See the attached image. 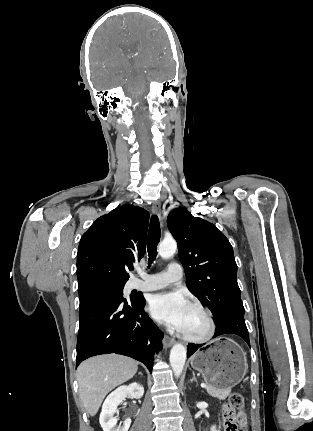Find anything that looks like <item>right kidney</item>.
<instances>
[{"instance_id":"obj_1","label":"right kidney","mask_w":313,"mask_h":431,"mask_svg":"<svg viewBox=\"0 0 313 431\" xmlns=\"http://www.w3.org/2000/svg\"><path fill=\"white\" fill-rule=\"evenodd\" d=\"M143 394V386L136 382L128 386H120L111 394H109L103 403L99 418V422L103 428V431H128L131 425V419L125 420L123 425H117L118 419L114 415L118 413V405H120L127 396L140 399Z\"/></svg>"}]
</instances>
